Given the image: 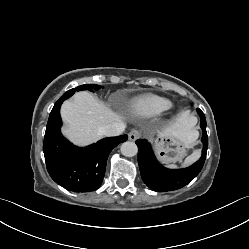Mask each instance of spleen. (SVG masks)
I'll use <instances>...</instances> for the list:
<instances>
[{
    "mask_svg": "<svg viewBox=\"0 0 249 249\" xmlns=\"http://www.w3.org/2000/svg\"><path fill=\"white\" fill-rule=\"evenodd\" d=\"M200 157V151L199 150H195L191 155H189L188 157H186V159L184 160V162L182 163V166H189L192 163H194L195 161H197ZM167 167L169 168H176L177 165L175 164H168Z\"/></svg>",
    "mask_w": 249,
    "mask_h": 249,
    "instance_id": "spleen-1",
    "label": "spleen"
}]
</instances>
